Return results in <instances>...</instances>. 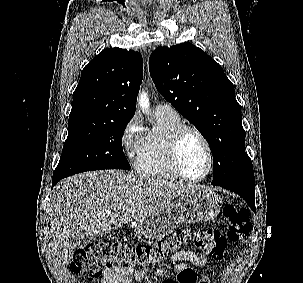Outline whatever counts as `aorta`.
<instances>
[{
  "instance_id": "1",
  "label": "aorta",
  "mask_w": 303,
  "mask_h": 283,
  "mask_svg": "<svg viewBox=\"0 0 303 283\" xmlns=\"http://www.w3.org/2000/svg\"><path fill=\"white\" fill-rule=\"evenodd\" d=\"M139 102L142 109H147V107L149 106V101L145 93L141 94Z\"/></svg>"
}]
</instances>
